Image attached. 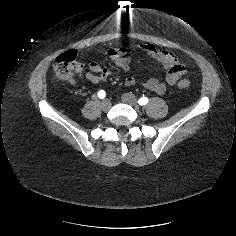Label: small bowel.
Masks as SVG:
<instances>
[{
	"mask_svg": "<svg viewBox=\"0 0 236 236\" xmlns=\"http://www.w3.org/2000/svg\"><path fill=\"white\" fill-rule=\"evenodd\" d=\"M138 48L149 57L157 60L166 69L164 81L152 78L141 83L144 88L156 94H163L167 86L175 85L187 71L185 64L169 50L158 48L151 43L140 44ZM127 53L128 49L125 47H112L104 51V54L124 72L130 71L133 62ZM111 75L112 71L109 68L100 66L96 61H91L85 77L91 83L98 84L106 81ZM135 84L136 79L134 77L126 78V86Z\"/></svg>",
	"mask_w": 236,
	"mask_h": 236,
	"instance_id": "small-bowel-1",
	"label": "small bowel"
}]
</instances>
